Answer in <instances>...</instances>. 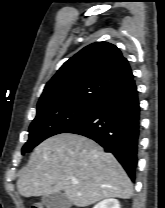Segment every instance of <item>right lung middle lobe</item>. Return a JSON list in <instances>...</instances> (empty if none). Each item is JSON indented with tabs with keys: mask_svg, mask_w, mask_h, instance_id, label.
<instances>
[{
	"mask_svg": "<svg viewBox=\"0 0 165 208\" xmlns=\"http://www.w3.org/2000/svg\"><path fill=\"white\" fill-rule=\"evenodd\" d=\"M92 102H63L37 109V115L29 127V140L22 154L29 152L43 140L65 133L79 124L95 107Z\"/></svg>",
	"mask_w": 165,
	"mask_h": 208,
	"instance_id": "right-lung-middle-lobe-1",
	"label": "right lung middle lobe"
}]
</instances>
